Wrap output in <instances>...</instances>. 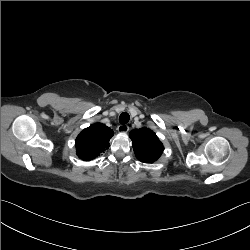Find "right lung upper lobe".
<instances>
[{"label": "right lung upper lobe", "mask_w": 250, "mask_h": 250, "mask_svg": "<svg viewBox=\"0 0 250 250\" xmlns=\"http://www.w3.org/2000/svg\"><path fill=\"white\" fill-rule=\"evenodd\" d=\"M114 132L101 123L84 129L76 138L75 145L80 159L90 161L109 148V140Z\"/></svg>", "instance_id": "1"}]
</instances>
